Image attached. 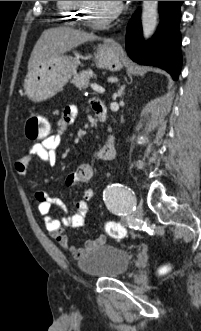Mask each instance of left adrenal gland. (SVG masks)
Returning <instances> with one entry per match:
<instances>
[{"mask_svg":"<svg viewBox=\"0 0 201 331\" xmlns=\"http://www.w3.org/2000/svg\"><path fill=\"white\" fill-rule=\"evenodd\" d=\"M124 89H125V85L120 86V88L116 94V97H122L124 95Z\"/></svg>","mask_w":201,"mask_h":331,"instance_id":"1","label":"left adrenal gland"}]
</instances>
